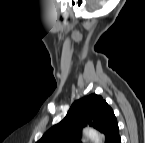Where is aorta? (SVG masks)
I'll return each instance as SVG.
<instances>
[{
	"label": "aorta",
	"mask_w": 145,
	"mask_h": 143,
	"mask_svg": "<svg viewBox=\"0 0 145 143\" xmlns=\"http://www.w3.org/2000/svg\"><path fill=\"white\" fill-rule=\"evenodd\" d=\"M84 135L87 136L94 143H101L102 139L98 131L93 128H86Z\"/></svg>",
	"instance_id": "aorta-1"
}]
</instances>
